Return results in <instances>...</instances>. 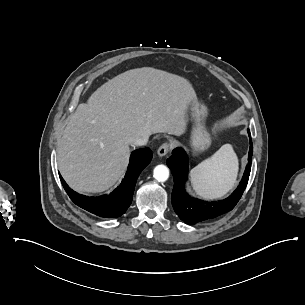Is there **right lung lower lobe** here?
<instances>
[{
    "mask_svg": "<svg viewBox=\"0 0 305 305\" xmlns=\"http://www.w3.org/2000/svg\"><path fill=\"white\" fill-rule=\"evenodd\" d=\"M151 159L152 151L149 148L134 151L130 157L125 179L112 193L100 197L78 194L66 184L61 175L60 179L70 199L79 207L100 217H119L130 206L137 178Z\"/></svg>",
    "mask_w": 305,
    "mask_h": 305,
    "instance_id": "98d812e1",
    "label": "right lung lower lobe"
}]
</instances>
